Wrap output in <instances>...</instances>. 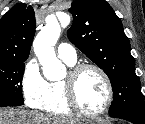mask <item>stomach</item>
Returning a JSON list of instances; mask_svg holds the SVG:
<instances>
[{"label": "stomach", "instance_id": "0dacf381", "mask_svg": "<svg viewBox=\"0 0 145 124\" xmlns=\"http://www.w3.org/2000/svg\"><path fill=\"white\" fill-rule=\"evenodd\" d=\"M80 124H106L103 120H86L80 122Z\"/></svg>", "mask_w": 145, "mask_h": 124}]
</instances>
